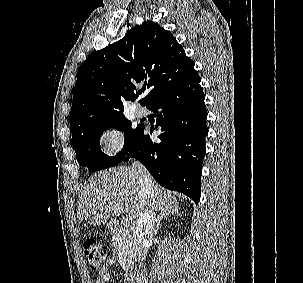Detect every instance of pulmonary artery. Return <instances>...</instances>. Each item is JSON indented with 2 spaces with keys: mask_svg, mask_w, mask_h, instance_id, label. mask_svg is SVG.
<instances>
[{
  "mask_svg": "<svg viewBox=\"0 0 303 283\" xmlns=\"http://www.w3.org/2000/svg\"><path fill=\"white\" fill-rule=\"evenodd\" d=\"M134 113L137 117H143L146 114V110L144 107L137 105L134 108Z\"/></svg>",
  "mask_w": 303,
  "mask_h": 283,
  "instance_id": "e3ab8cb5",
  "label": "pulmonary artery"
}]
</instances>
